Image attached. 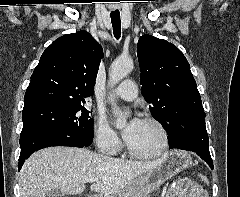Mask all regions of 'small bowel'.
<instances>
[{
  "mask_svg": "<svg viewBox=\"0 0 240 197\" xmlns=\"http://www.w3.org/2000/svg\"><path fill=\"white\" fill-rule=\"evenodd\" d=\"M167 197H208V193L198 184L183 180L170 189Z\"/></svg>",
  "mask_w": 240,
  "mask_h": 197,
  "instance_id": "1",
  "label": "small bowel"
}]
</instances>
